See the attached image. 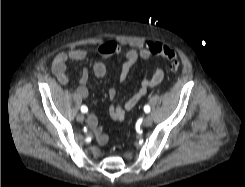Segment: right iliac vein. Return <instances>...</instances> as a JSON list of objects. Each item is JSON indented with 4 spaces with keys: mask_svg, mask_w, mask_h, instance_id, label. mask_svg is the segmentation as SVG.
I'll list each match as a JSON object with an SVG mask.
<instances>
[{
    "mask_svg": "<svg viewBox=\"0 0 245 187\" xmlns=\"http://www.w3.org/2000/svg\"><path fill=\"white\" fill-rule=\"evenodd\" d=\"M76 119H77L78 122H81L82 123L84 121L85 117H84L83 114H78L77 117H76Z\"/></svg>",
    "mask_w": 245,
    "mask_h": 187,
    "instance_id": "obj_1",
    "label": "right iliac vein"
}]
</instances>
